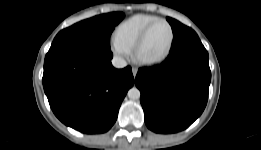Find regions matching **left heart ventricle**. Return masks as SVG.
I'll return each mask as SVG.
<instances>
[{
    "label": "left heart ventricle",
    "mask_w": 261,
    "mask_h": 150,
    "mask_svg": "<svg viewBox=\"0 0 261 150\" xmlns=\"http://www.w3.org/2000/svg\"><path fill=\"white\" fill-rule=\"evenodd\" d=\"M170 30L165 23L156 24L148 34L142 46L141 55L144 58H156L161 56L169 42Z\"/></svg>",
    "instance_id": "b2bd125f"
}]
</instances>
